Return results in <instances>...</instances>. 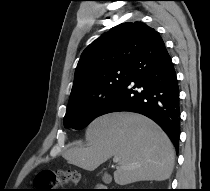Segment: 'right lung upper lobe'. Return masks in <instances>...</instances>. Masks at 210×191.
I'll return each mask as SVG.
<instances>
[{
    "mask_svg": "<svg viewBox=\"0 0 210 191\" xmlns=\"http://www.w3.org/2000/svg\"><path fill=\"white\" fill-rule=\"evenodd\" d=\"M157 34L142 22H127L101 35L83 51L70 97L86 89L101 72L117 66H130L136 55Z\"/></svg>",
    "mask_w": 210,
    "mask_h": 191,
    "instance_id": "right-lung-upper-lobe-1",
    "label": "right lung upper lobe"
}]
</instances>
